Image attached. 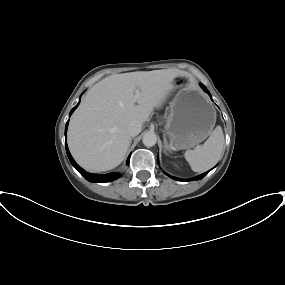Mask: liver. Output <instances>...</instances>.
Listing matches in <instances>:
<instances>
[{
  "label": "liver",
  "mask_w": 285,
  "mask_h": 285,
  "mask_svg": "<svg viewBox=\"0 0 285 285\" xmlns=\"http://www.w3.org/2000/svg\"><path fill=\"white\" fill-rule=\"evenodd\" d=\"M177 77L187 78L194 88L192 75L179 69L115 74L95 84L69 123L68 146L75 161L90 172L117 167L129 148L128 123L147 121L174 89Z\"/></svg>",
  "instance_id": "6515ba94"
}]
</instances>
